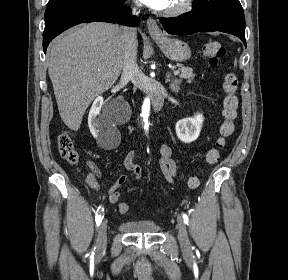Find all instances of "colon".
<instances>
[{
  "instance_id": "5ec220e1",
  "label": "colon",
  "mask_w": 288,
  "mask_h": 280,
  "mask_svg": "<svg viewBox=\"0 0 288 280\" xmlns=\"http://www.w3.org/2000/svg\"><path fill=\"white\" fill-rule=\"evenodd\" d=\"M203 54L211 66H216L225 55L224 46L218 41H208L203 46ZM238 80L237 76L233 73H228L223 79L224 98L222 101L223 122L221 124V136L217 140L214 148L210 149L206 156L205 161L208 165L215 164L220 157L221 150L225 147L226 139L230 137L235 130V119L238 109L237 97ZM58 150L61 157L72 165H76L80 161L78 151L71 136L63 132L57 138ZM93 173V172H92ZM200 185V178L198 175H192L187 181V187L190 190H195ZM121 212L127 214L130 212V207L127 203L123 202L120 206Z\"/></svg>"
}]
</instances>
